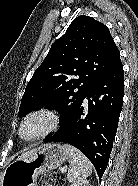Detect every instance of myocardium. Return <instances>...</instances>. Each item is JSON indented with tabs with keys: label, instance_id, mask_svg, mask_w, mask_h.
Listing matches in <instances>:
<instances>
[{
	"label": "myocardium",
	"instance_id": "obj_1",
	"mask_svg": "<svg viewBox=\"0 0 138 186\" xmlns=\"http://www.w3.org/2000/svg\"><path fill=\"white\" fill-rule=\"evenodd\" d=\"M40 115L46 116L48 118V121H49L48 126L42 132L32 137L25 138L22 134L23 128L25 127V125L28 123L30 119L36 116H40ZM59 124H60V115L56 111L50 108L35 109L29 112L28 114H26L24 118L22 119L20 126L18 128V136L24 142L37 141L52 134L58 128Z\"/></svg>",
	"mask_w": 138,
	"mask_h": 186
}]
</instances>
